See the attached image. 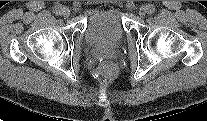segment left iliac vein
<instances>
[{
	"label": "left iliac vein",
	"mask_w": 207,
	"mask_h": 121,
	"mask_svg": "<svg viewBox=\"0 0 207 121\" xmlns=\"http://www.w3.org/2000/svg\"><path fill=\"white\" fill-rule=\"evenodd\" d=\"M148 13V9L145 6L140 7L139 9V15L141 17H145V15Z\"/></svg>",
	"instance_id": "obj_1"
}]
</instances>
